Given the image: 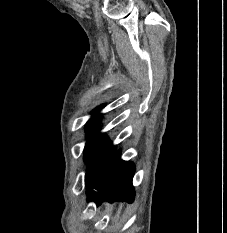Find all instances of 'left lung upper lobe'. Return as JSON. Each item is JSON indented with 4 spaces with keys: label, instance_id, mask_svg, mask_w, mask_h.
I'll return each instance as SVG.
<instances>
[{
    "label": "left lung upper lobe",
    "instance_id": "left-lung-upper-lobe-1",
    "mask_svg": "<svg viewBox=\"0 0 227 233\" xmlns=\"http://www.w3.org/2000/svg\"><path fill=\"white\" fill-rule=\"evenodd\" d=\"M99 110L100 108L94 112H98ZM99 118L100 115H96L87 123L88 135L90 136L85 146V161L88 164V170L85 175L87 195L95 193L99 188L102 177L115 153V149L104 134H99L93 128L94 122Z\"/></svg>",
    "mask_w": 227,
    "mask_h": 233
}]
</instances>
